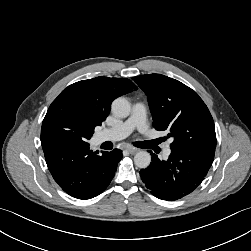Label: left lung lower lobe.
Instances as JSON below:
<instances>
[{"mask_svg": "<svg viewBox=\"0 0 251 251\" xmlns=\"http://www.w3.org/2000/svg\"><path fill=\"white\" fill-rule=\"evenodd\" d=\"M168 160L151 153L152 162L140 171L142 181L159 199L173 201L195 190L212 165L215 149H171Z\"/></svg>", "mask_w": 251, "mask_h": 251, "instance_id": "1", "label": "left lung lower lobe"}]
</instances>
